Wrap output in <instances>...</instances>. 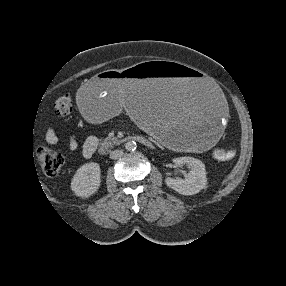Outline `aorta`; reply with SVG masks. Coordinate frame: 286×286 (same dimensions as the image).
I'll return each instance as SVG.
<instances>
[{"label":"aorta","mask_w":286,"mask_h":286,"mask_svg":"<svg viewBox=\"0 0 286 286\" xmlns=\"http://www.w3.org/2000/svg\"><path fill=\"white\" fill-rule=\"evenodd\" d=\"M137 145L135 141H128L125 143V149L127 151H134L136 149Z\"/></svg>","instance_id":"aorta-1"}]
</instances>
